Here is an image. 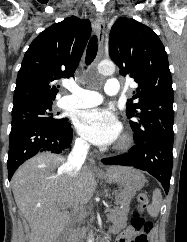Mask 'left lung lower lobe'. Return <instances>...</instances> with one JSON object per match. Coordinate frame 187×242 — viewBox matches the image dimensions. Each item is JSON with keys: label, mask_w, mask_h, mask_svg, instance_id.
<instances>
[{"label": "left lung lower lobe", "mask_w": 187, "mask_h": 242, "mask_svg": "<svg viewBox=\"0 0 187 242\" xmlns=\"http://www.w3.org/2000/svg\"><path fill=\"white\" fill-rule=\"evenodd\" d=\"M173 137H161L136 143L127 153L102 159L107 165L132 166L157 178L166 194L169 191L173 167Z\"/></svg>", "instance_id": "obj_1"}]
</instances>
